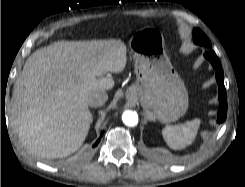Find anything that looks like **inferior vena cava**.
I'll use <instances>...</instances> for the list:
<instances>
[{"label":"inferior vena cava","instance_id":"inferior-vena-cava-1","mask_svg":"<svg viewBox=\"0 0 245 187\" xmlns=\"http://www.w3.org/2000/svg\"><path fill=\"white\" fill-rule=\"evenodd\" d=\"M108 94L105 90H97L91 93L87 99V103L91 107H100L105 104Z\"/></svg>","mask_w":245,"mask_h":187}]
</instances>
